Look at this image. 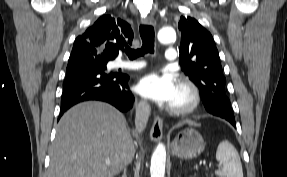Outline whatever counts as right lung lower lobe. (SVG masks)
Wrapping results in <instances>:
<instances>
[{
  "mask_svg": "<svg viewBox=\"0 0 287 177\" xmlns=\"http://www.w3.org/2000/svg\"><path fill=\"white\" fill-rule=\"evenodd\" d=\"M128 80L125 74L107 73L97 66L67 70L59 118L73 105L89 100L104 101L122 112L128 111L134 102V96L128 90Z\"/></svg>",
  "mask_w": 287,
  "mask_h": 177,
  "instance_id": "obj_1",
  "label": "right lung lower lobe"
}]
</instances>
